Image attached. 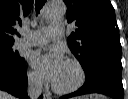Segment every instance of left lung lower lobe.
I'll use <instances>...</instances> for the list:
<instances>
[{"label":"left lung lower lobe","instance_id":"1","mask_svg":"<svg viewBox=\"0 0 128 99\" xmlns=\"http://www.w3.org/2000/svg\"><path fill=\"white\" fill-rule=\"evenodd\" d=\"M82 67L86 77L84 85L76 92L60 99L89 93H101L114 99H124L121 55L96 53Z\"/></svg>","mask_w":128,"mask_h":99}]
</instances>
